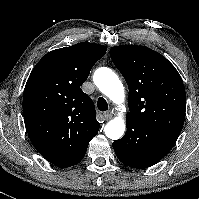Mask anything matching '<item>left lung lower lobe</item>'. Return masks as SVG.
<instances>
[{"label": "left lung lower lobe", "mask_w": 199, "mask_h": 199, "mask_svg": "<svg viewBox=\"0 0 199 199\" xmlns=\"http://www.w3.org/2000/svg\"><path fill=\"white\" fill-rule=\"evenodd\" d=\"M176 140L127 120L126 134L113 142L118 159L132 168H147L158 163L173 147Z\"/></svg>", "instance_id": "left-lung-lower-lobe-1"}]
</instances>
